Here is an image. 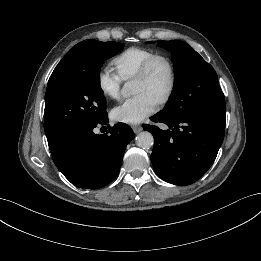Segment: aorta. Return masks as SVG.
I'll return each instance as SVG.
<instances>
[{
    "label": "aorta",
    "instance_id": "1",
    "mask_svg": "<svg viewBox=\"0 0 261 261\" xmlns=\"http://www.w3.org/2000/svg\"><path fill=\"white\" fill-rule=\"evenodd\" d=\"M122 94L124 96H129L132 94V89H131L130 83L127 82L124 84V86L122 88ZM136 144L138 147L143 148V149L151 148L154 144L153 135L148 131L140 132L136 136Z\"/></svg>",
    "mask_w": 261,
    "mask_h": 261
}]
</instances>
